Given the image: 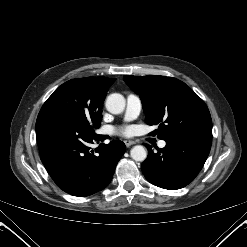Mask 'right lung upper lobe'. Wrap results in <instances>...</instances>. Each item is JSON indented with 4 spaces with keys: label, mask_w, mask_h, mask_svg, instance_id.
<instances>
[{
    "label": "right lung upper lobe",
    "mask_w": 247,
    "mask_h": 247,
    "mask_svg": "<svg viewBox=\"0 0 247 247\" xmlns=\"http://www.w3.org/2000/svg\"><path fill=\"white\" fill-rule=\"evenodd\" d=\"M85 81H87L89 84H91L99 93H101L104 98L106 96V93L109 89V87L114 83L116 79H110L106 77H86L83 78Z\"/></svg>",
    "instance_id": "obj_1"
}]
</instances>
